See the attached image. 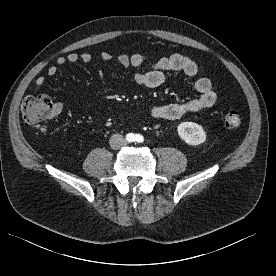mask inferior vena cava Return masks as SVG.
<instances>
[{"label": "inferior vena cava", "instance_id": "inferior-vena-cava-1", "mask_svg": "<svg viewBox=\"0 0 276 276\" xmlns=\"http://www.w3.org/2000/svg\"><path fill=\"white\" fill-rule=\"evenodd\" d=\"M109 143L112 149L117 150L125 146L127 141L121 134H114L111 136Z\"/></svg>", "mask_w": 276, "mask_h": 276}]
</instances>
